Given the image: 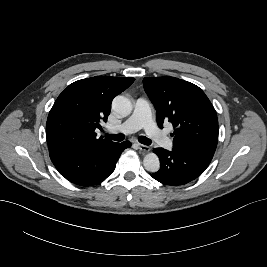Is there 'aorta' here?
<instances>
[{
    "mask_svg": "<svg viewBox=\"0 0 267 267\" xmlns=\"http://www.w3.org/2000/svg\"><path fill=\"white\" fill-rule=\"evenodd\" d=\"M112 109L118 115L125 117L132 112L133 105L127 97L118 95L113 99ZM143 165L147 171L157 172L160 168V161L158 156L153 152L146 154L143 159Z\"/></svg>",
    "mask_w": 267,
    "mask_h": 267,
    "instance_id": "obj_1",
    "label": "aorta"
}]
</instances>
